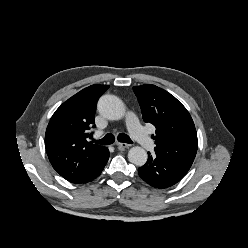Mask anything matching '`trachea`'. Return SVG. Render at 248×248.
<instances>
[{"instance_id": "1", "label": "trachea", "mask_w": 248, "mask_h": 248, "mask_svg": "<svg viewBox=\"0 0 248 248\" xmlns=\"http://www.w3.org/2000/svg\"><path fill=\"white\" fill-rule=\"evenodd\" d=\"M117 139L119 142H122V143H128V144L133 143L130 137L124 133L119 134ZM114 141H115L114 136L112 134H107L102 139L97 140V143L101 145H110L114 143Z\"/></svg>"}]
</instances>
